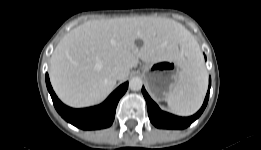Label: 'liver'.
<instances>
[{
    "instance_id": "liver-1",
    "label": "liver",
    "mask_w": 261,
    "mask_h": 150,
    "mask_svg": "<svg viewBox=\"0 0 261 150\" xmlns=\"http://www.w3.org/2000/svg\"><path fill=\"white\" fill-rule=\"evenodd\" d=\"M136 39L143 41L141 48L135 45ZM196 46L184 26L169 18L87 21L69 31L56 46L51 56L50 80L65 104L86 107L112 92L117 81L112 76L114 66L130 70L139 60H176L184 68L188 49Z\"/></svg>"
}]
</instances>
